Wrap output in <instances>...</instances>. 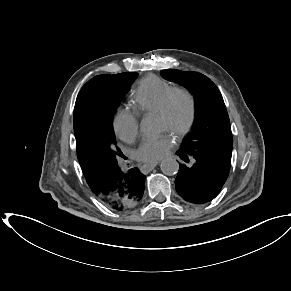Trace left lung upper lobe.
I'll return each instance as SVG.
<instances>
[{
	"label": "left lung upper lobe",
	"mask_w": 291,
	"mask_h": 291,
	"mask_svg": "<svg viewBox=\"0 0 291 291\" xmlns=\"http://www.w3.org/2000/svg\"><path fill=\"white\" fill-rule=\"evenodd\" d=\"M162 76L186 87L196 102V120L179 151L216 161L230 168L233 139L228 113L216 85L194 71L166 69Z\"/></svg>",
	"instance_id": "obj_1"
}]
</instances>
